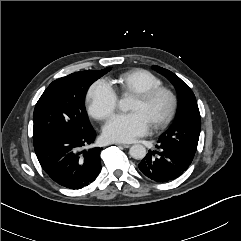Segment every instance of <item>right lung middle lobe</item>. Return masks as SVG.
<instances>
[{
  "mask_svg": "<svg viewBox=\"0 0 241 241\" xmlns=\"http://www.w3.org/2000/svg\"><path fill=\"white\" fill-rule=\"evenodd\" d=\"M110 69L72 73L47 87L34 110V147L59 135L82 134L92 129L84 98L89 86Z\"/></svg>",
  "mask_w": 241,
  "mask_h": 241,
  "instance_id": "dd1d6c3e",
  "label": "right lung middle lobe"
}]
</instances>
